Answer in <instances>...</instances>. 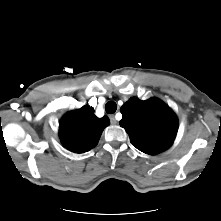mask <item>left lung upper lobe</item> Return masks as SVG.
<instances>
[{"mask_svg":"<svg viewBox=\"0 0 221 221\" xmlns=\"http://www.w3.org/2000/svg\"><path fill=\"white\" fill-rule=\"evenodd\" d=\"M120 125L130 141L140 151L156 155L172 144L177 134L178 120L174 112L161 100L142 101L136 97L122 107Z\"/></svg>","mask_w":221,"mask_h":221,"instance_id":"left-lung-upper-lobe-1","label":"left lung upper lobe"}]
</instances>
